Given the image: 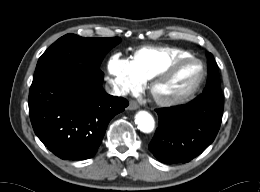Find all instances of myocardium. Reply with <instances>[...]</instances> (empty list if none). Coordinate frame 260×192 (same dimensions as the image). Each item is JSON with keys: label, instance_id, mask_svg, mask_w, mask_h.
I'll list each match as a JSON object with an SVG mask.
<instances>
[{"label": "myocardium", "instance_id": "1", "mask_svg": "<svg viewBox=\"0 0 260 192\" xmlns=\"http://www.w3.org/2000/svg\"><path fill=\"white\" fill-rule=\"evenodd\" d=\"M187 64H196L199 66V70H200L199 76L196 79V81L193 83V85L190 86L185 91H183L182 93L177 94L175 96L166 97V98L157 96L154 92L155 87L162 81L169 78L178 68H180L181 66L187 65ZM205 74H206L205 68L200 60H198L196 58H191V57L180 59V60L173 62L167 68H165L164 70H162L161 72L157 73L152 78H150V82L147 87L148 93H149L150 97L153 99V101L155 103H157L158 105H161V106L174 105V104L180 103V102L188 99L193 94H195L196 91L200 88L202 82L204 81Z\"/></svg>", "mask_w": 260, "mask_h": 192}]
</instances>
